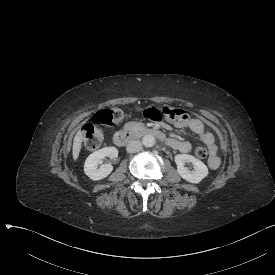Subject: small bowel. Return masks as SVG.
<instances>
[{
	"label": "small bowel",
	"instance_id": "small-bowel-1",
	"mask_svg": "<svg viewBox=\"0 0 275 275\" xmlns=\"http://www.w3.org/2000/svg\"><path fill=\"white\" fill-rule=\"evenodd\" d=\"M177 128H188L193 132L198 139L205 144L210 151V158L208 160V166L215 170L220 166V159L216 155L217 146L212 133L208 132L204 128L203 122L198 118L189 117L185 120L176 122ZM170 145L181 153H188L191 150V143L186 140H170Z\"/></svg>",
	"mask_w": 275,
	"mask_h": 275
}]
</instances>
